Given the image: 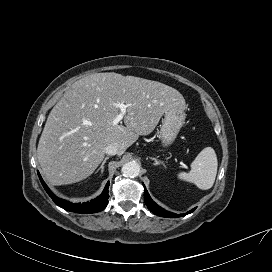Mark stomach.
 I'll list each match as a JSON object with an SVG mask.
<instances>
[{
    "instance_id": "0dacf381",
    "label": "stomach",
    "mask_w": 272,
    "mask_h": 272,
    "mask_svg": "<svg viewBox=\"0 0 272 272\" xmlns=\"http://www.w3.org/2000/svg\"><path fill=\"white\" fill-rule=\"evenodd\" d=\"M184 109L172 108L164 113V119L158 133L164 147L170 146L176 139L181 127L185 122Z\"/></svg>"
}]
</instances>
